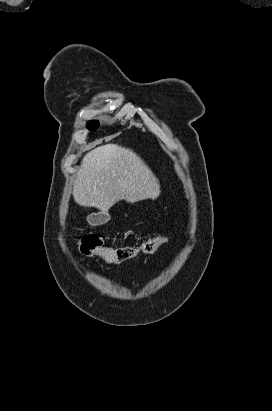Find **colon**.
<instances>
[{
	"mask_svg": "<svg viewBox=\"0 0 272 411\" xmlns=\"http://www.w3.org/2000/svg\"><path fill=\"white\" fill-rule=\"evenodd\" d=\"M167 242L164 236H157L143 242L140 246L106 247L103 239L97 235L88 234L79 241L80 252L88 257L99 256L110 264H121L139 253H152Z\"/></svg>",
	"mask_w": 272,
	"mask_h": 411,
	"instance_id": "colon-1",
	"label": "colon"
}]
</instances>
